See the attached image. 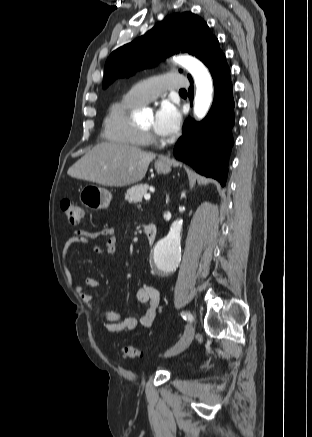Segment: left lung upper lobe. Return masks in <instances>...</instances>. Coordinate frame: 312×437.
Listing matches in <instances>:
<instances>
[{
    "mask_svg": "<svg viewBox=\"0 0 312 437\" xmlns=\"http://www.w3.org/2000/svg\"><path fill=\"white\" fill-rule=\"evenodd\" d=\"M180 51L195 55L208 67L221 49L217 38L197 15L191 12L169 15L143 36L111 53L105 63L102 86L105 89L116 78L128 77L137 69L153 66ZM188 78L192 80L190 75Z\"/></svg>",
    "mask_w": 312,
    "mask_h": 437,
    "instance_id": "obj_1",
    "label": "left lung upper lobe"
}]
</instances>
